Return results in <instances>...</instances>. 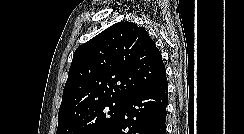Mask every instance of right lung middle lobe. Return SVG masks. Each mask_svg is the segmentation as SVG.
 <instances>
[{"label": "right lung middle lobe", "mask_w": 244, "mask_h": 134, "mask_svg": "<svg viewBox=\"0 0 244 134\" xmlns=\"http://www.w3.org/2000/svg\"><path fill=\"white\" fill-rule=\"evenodd\" d=\"M125 100L111 99L58 120L57 134H104L121 113Z\"/></svg>", "instance_id": "obj_1"}]
</instances>
